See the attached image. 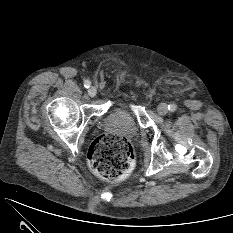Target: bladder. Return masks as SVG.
Listing matches in <instances>:
<instances>
[{"label": "bladder", "instance_id": "obj_1", "mask_svg": "<svg viewBox=\"0 0 233 233\" xmlns=\"http://www.w3.org/2000/svg\"><path fill=\"white\" fill-rule=\"evenodd\" d=\"M133 97H135V93H134L133 91H129V92L127 93V95H126V98H127V99H131V98H133ZM136 130H137V126H136L135 123H133V125H132V127H131V134L136 133Z\"/></svg>", "mask_w": 233, "mask_h": 233}]
</instances>
